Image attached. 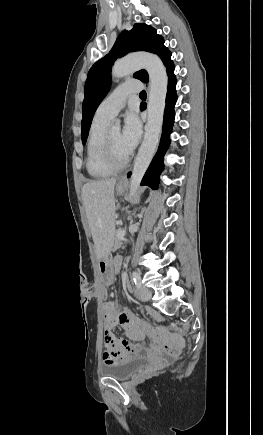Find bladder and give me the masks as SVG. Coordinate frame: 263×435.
Returning <instances> with one entry per match:
<instances>
[{"label":"bladder","mask_w":263,"mask_h":435,"mask_svg":"<svg viewBox=\"0 0 263 435\" xmlns=\"http://www.w3.org/2000/svg\"><path fill=\"white\" fill-rule=\"evenodd\" d=\"M147 363V358L133 356L116 363H105L101 366L100 373L104 377L123 381L134 376L138 371L144 368Z\"/></svg>","instance_id":"bladder-1"}]
</instances>
